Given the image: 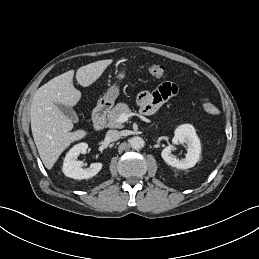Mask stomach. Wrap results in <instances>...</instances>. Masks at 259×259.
I'll use <instances>...</instances> for the list:
<instances>
[{"label": "stomach", "instance_id": "obj_1", "mask_svg": "<svg viewBox=\"0 0 259 259\" xmlns=\"http://www.w3.org/2000/svg\"><path fill=\"white\" fill-rule=\"evenodd\" d=\"M125 77V72L119 73L118 78L123 79ZM119 96V86L112 85L105 94L98 100V105L110 107L114 104L116 98Z\"/></svg>", "mask_w": 259, "mask_h": 259}]
</instances>
